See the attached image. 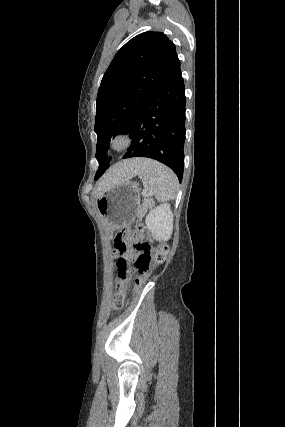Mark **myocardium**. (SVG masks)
<instances>
[{
	"label": "myocardium",
	"mask_w": 285,
	"mask_h": 427,
	"mask_svg": "<svg viewBox=\"0 0 285 427\" xmlns=\"http://www.w3.org/2000/svg\"><path fill=\"white\" fill-rule=\"evenodd\" d=\"M132 144V138L127 132H119L113 135L110 141V148L113 151L121 152L128 149Z\"/></svg>",
	"instance_id": "obj_1"
}]
</instances>
